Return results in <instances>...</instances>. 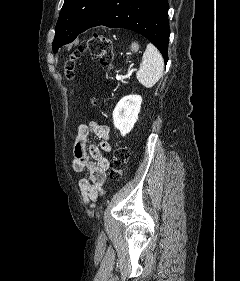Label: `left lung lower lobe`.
<instances>
[{
  "mask_svg": "<svg viewBox=\"0 0 240 281\" xmlns=\"http://www.w3.org/2000/svg\"><path fill=\"white\" fill-rule=\"evenodd\" d=\"M168 9L167 0H103L80 33L99 25L133 30L150 40L167 63Z\"/></svg>",
  "mask_w": 240,
  "mask_h": 281,
  "instance_id": "obj_1",
  "label": "left lung lower lobe"
}]
</instances>
